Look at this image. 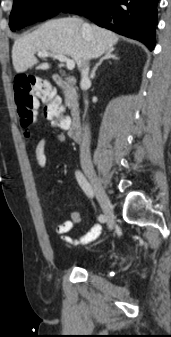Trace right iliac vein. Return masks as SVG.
I'll return each instance as SVG.
<instances>
[{
  "instance_id": "63e3f726",
  "label": "right iliac vein",
  "mask_w": 171,
  "mask_h": 337,
  "mask_svg": "<svg viewBox=\"0 0 171 337\" xmlns=\"http://www.w3.org/2000/svg\"><path fill=\"white\" fill-rule=\"evenodd\" d=\"M84 170L93 185L96 198L107 218L108 227L109 229H112L114 226V219H115L113 206L104 188L102 187L100 180L98 179L94 169L91 166L86 165L84 166Z\"/></svg>"
}]
</instances>
